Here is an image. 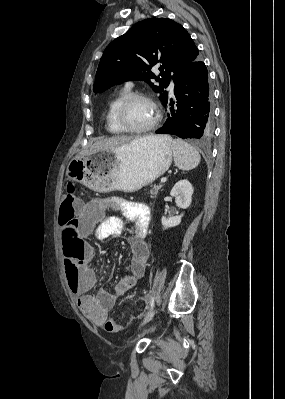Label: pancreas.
I'll use <instances>...</instances> for the list:
<instances>
[{
    "mask_svg": "<svg viewBox=\"0 0 285 399\" xmlns=\"http://www.w3.org/2000/svg\"><path fill=\"white\" fill-rule=\"evenodd\" d=\"M162 188V185H153L150 194L152 198H155L157 196L158 191Z\"/></svg>",
    "mask_w": 285,
    "mask_h": 399,
    "instance_id": "1",
    "label": "pancreas"
}]
</instances>
